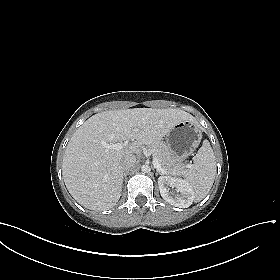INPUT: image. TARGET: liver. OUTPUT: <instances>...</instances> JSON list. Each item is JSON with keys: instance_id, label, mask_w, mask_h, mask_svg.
Returning <instances> with one entry per match:
<instances>
[{"instance_id": "liver-1", "label": "liver", "mask_w": 280, "mask_h": 280, "mask_svg": "<svg viewBox=\"0 0 280 280\" xmlns=\"http://www.w3.org/2000/svg\"><path fill=\"white\" fill-rule=\"evenodd\" d=\"M186 120L194 117L172 108L109 110L93 115L75 131L64 153L62 174L69 193L87 209L112 208L121 196L123 158L140 154L144 145L159 142ZM130 139L136 141L127 149L104 146Z\"/></svg>"}]
</instances>
